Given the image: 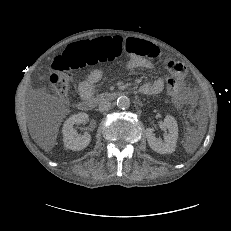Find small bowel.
Segmentation results:
<instances>
[{"instance_id":"obj_1","label":"small bowel","mask_w":231,"mask_h":231,"mask_svg":"<svg viewBox=\"0 0 231 231\" xmlns=\"http://www.w3.org/2000/svg\"><path fill=\"white\" fill-rule=\"evenodd\" d=\"M124 49L127 52L125 64L132 69H152L154 67L151 58L160 56L159 49L152 43L139 39L127 38L124 40ZM163 67L169 70L171 75L180 83L186 80V71L184 66L177 62L173 56H166L163 59ZM102 79L100 70L92 71L88 77L80 82L78 91L82 98L92 97L97 84ZM164 88L162 79H156L152 82L144 83L140 87V92L144 95L159 94Z\"/></svg>"}]
</instances>
